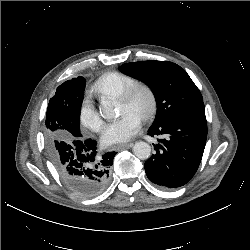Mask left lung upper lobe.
I'll list each match as a JSON object with an SVG mask.
<instances>
[{"label":"left lung upper lobe","mask_w":250,"mask_h":250,"mask_svg":"<svg viewBox=\"0 0 250 250\" xmlns=\"http://www.w3.org/2000/svg\"><path fill=\"white\" fill-rule=\"evenodd\" d=\"M120 71L145 82L154 93L157 113L152 126L174 118L205 112L202 95L187 72L168 61L123 64Z\"/></svg>","instance_id":"5c2ea615"}]
</instances>
